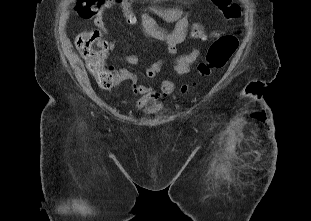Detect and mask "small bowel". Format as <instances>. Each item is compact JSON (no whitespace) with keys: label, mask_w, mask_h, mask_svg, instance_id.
<instances>
[{"label":"small bowel","mask_w":311,"mask_h":221,"mask_svg":"<svg viewBox=\"0 0 311 221\" xmlns=\"http://www.w3.org/2000/svg\"><path fill=\"white\" fill-rule=\"evenodd\" d=\"M103 10L100 11L94 22L100 32L109 38L108 49L113 50L118 41L110 36L103 19ZM155 16L167 21L175 22V28L167 31L159 26ZM140 20L145 35L151 39L165 43V58L153 61L144 71V80H140L138 75L132 70L120 67L116 70L119 81H128L131 83L132 92L137 99L134 102V108L138 111L143 110L146 113L155 111L163 99H166L174 90V80L171 78L164 79L159 89L153 87L148 81L154 79L160 69L167 63L168 58L175 55L177 45L182 43L187 35L188 30V13L180 7H162L156 4H149L142 9ZM199 56V50L194 49L187 55L178 56L175 60V72L178 75L186 74L189 67ZM120 60L129 65H136L139 57L134 54L120 55Z\"/></svg>","instance_id":"obj_1"}]
</instances>
